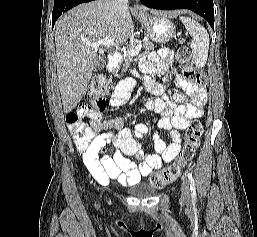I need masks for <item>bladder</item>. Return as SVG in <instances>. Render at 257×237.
<instances>
[{"instance_id": "bladder-1", "label": "bladder", "mask_w": 257, "mask_h": 237, "mask_svg": "<svg viewBox=\"0 0 257 237\" xmlns=\"http://www.w3.org/2000/svg\"><path fill=\"white\" fill-rule=\"evenodd\" d=\"M132 189V194L139 198H150L156 195V188L144 183H137Z\"/></svg>"}]
</instances>
